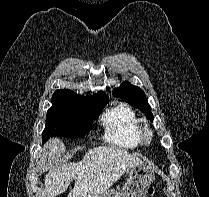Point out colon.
Listing matches in <instances>:
<instances>
[{
	"label": "colon",
	"mask_w": 209,
	"mask_h": 197,
	"mask_svg": "<svg viewBox=\"0 0 209 197\" xmlns=\"http://www.w3.org/2000/svg\"><path fill=\"white\" fill-rule=\"evenodd\" d=\"M153 193H154V188H153V186H150L148 188V195L151 197L153 195Z\"/></svg>",
	"instance_id": "1"
}]
</instances>
